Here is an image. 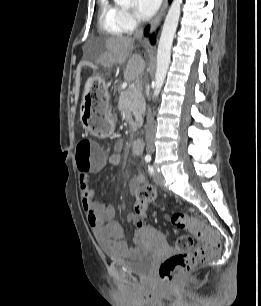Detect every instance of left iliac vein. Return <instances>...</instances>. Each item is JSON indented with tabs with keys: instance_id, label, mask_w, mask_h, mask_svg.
Segmentation results:
<instances>
[{
	"instance_id": "obj_1",
	"label": "left iliac vein",
	"mask_w": 261,
	"mask_h": 306,
	"mask_svg": "<svg viewBox=\"0 0 261 306\" xmlns=\"http://www.w3.org/2000/svg\"><path fill=\"white\" fill-rule=\"evenodd\" d=\"M154 182H155V184L157 185V186H160V187H162L163 186V184H164V179H163V176H162V174L161 173H159V172H155V174H154Z\"/></svg>"
}]
</instances>
